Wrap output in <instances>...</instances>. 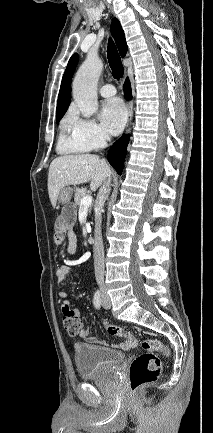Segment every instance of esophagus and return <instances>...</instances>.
<instances>
[{
  "mask_svg": "<svg viewBox=\"0 0 213 433\" xmlns=\"http://www.w3.org/2000/svg\"><path fill=\"white\" fill-rule=\"evenodd\" d=\"M132 116H133V108L132 105L129 103L128 104V126H127V132L130 130V123L132 120Z\"/></svg>",
  "mask_w": 213,
  "mask_h": 433,
  "instance_id": "obj_1",
  "label": "esophagus"
}]
</instances>
